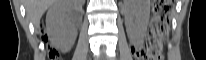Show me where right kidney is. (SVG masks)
Instances as JSON below:
<instances>
[{
    "instance_id": "obj_1",
    "label": "right kidney",
    "mask_w": 206,
    "mask_h": 60,
    "mask_svg": "<svg viewBox=\"0 0 206 60\" xmlns=\"http://www.w3.org/2000/svg\"><path fill=\"white\" fill-rule=\"evenodd\" d=\"M76 0H61L53 4L46 16V26L51 41L61 49H69L76 37V30L68 13L76 8Z\"/></svg>"
}]
</instances>
